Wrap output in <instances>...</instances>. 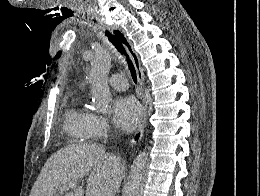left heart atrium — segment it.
Returning a JSON list of instances; mask_svg holds the SVG:
<instances>
[{
    "instance_id": "obj_1",
    "label": "left heart atrium",
    "mask_w": 260,
    "mask_h": 196,
    "mask_svg": "<svg viewBox=\"0 0 260 196\" xmlns=\"http://www.w3.org/2000/svg\"><path fill=\"white\" fill-rule=\"evenodd\" d=\"M143 111L137 100L131 96H120L113 104V121L125 132L133 130L141 121Z\"/></svg>"
}]
</instances>
